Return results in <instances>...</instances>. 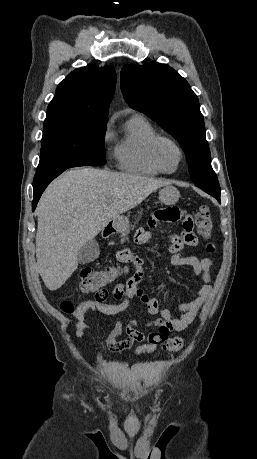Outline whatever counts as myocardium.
Returning a JSON list of instances; mask_svg holds the SVG:
<instances>
[{
  "instance_id": "myocardium-1",
  "label": "myocardium",
  "mask_w": 257,
  "mask_h": 459,
  "mask_svg": "<svg viewBox=\"0 0 257 459\" xmlns=\"http://www.w3.org/2000/svg\"><path fill=\"white\" fill-rule=\"evenodd\" d=\"M162 141H167V142H170L178 151L179 153V160H178V163L176 165V167L172 170H168L166 169L163 164L161 163L159 157H158V146L159 144L162 142ZM149 156H150V159L152 161V163L162 172V173H166V174H172V173H175L181 166L183 160H184V150L183 148L181 147V145L172 137L168 136V135H160L158 134L157 136H155L153 138V140L151 141L150 143V146H149Z\"/></svg>"
}]
</instances>
